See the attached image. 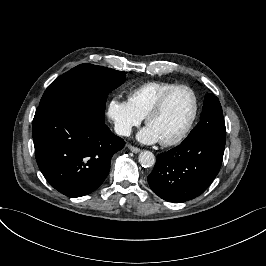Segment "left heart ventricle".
Returning <instances> with one entry per match:
<instances>
[{
	"label": "left heart ventricle",
	"instance_id": "b2bd125f",
	"mask_svg": "<svg viewBox=\"0 0 266 266\" xmlns=\"http://www.w3.org/2000/svg\"><path fill=\"white\" fill-rule=\"evenodd\" d=\"M193 112L192 94L186 89H178L170 95L163 110L150 119L149 125L160 140L173 139L188 124Z\"/></svg>",
	"mask_w": 266,
	"mask_h": 266
}]
</instances>
